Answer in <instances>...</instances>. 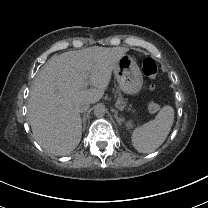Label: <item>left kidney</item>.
<instances>
[{"instance_id": "5707ae66", "label": "left kidney", "mask_w": 208, "mask_h": 208, "mask_svg": "<svg viewBox=\"0 0 208 208\" xmlns=\"http://www.w3.org/2000/svg\"><path fill=\"white\" fill-rule=\"evenodd\" d=\"M125 125H126V128H127L128 130H130V129H132V128L134 127V123H133L132 120L127 121V122L125 123Z\"/></svg>"}]
</instances>
